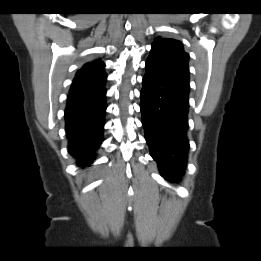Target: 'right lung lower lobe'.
<instances>
[{"label":"right lung lower lobe","mask_w":261,"mask_h":261,"mask_svg":"<svg viewBox=\"0 0 261 261\" xmlns=\"http://www.w3.org/2000/svg\"><path fill=\"white\" fill-rule=\"evenodd\" d=\"M106 89L103 84L83 91L70 92L65 109L69 153L81 167L93 162L103 137L106 113Z\"/></svg>","instance_id":"obj_1"}]
</instances>
